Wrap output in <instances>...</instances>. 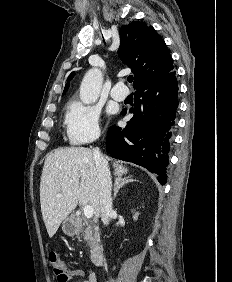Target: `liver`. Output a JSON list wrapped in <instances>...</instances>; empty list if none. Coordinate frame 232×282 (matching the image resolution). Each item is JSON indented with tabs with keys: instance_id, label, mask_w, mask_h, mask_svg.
<instances>
[{
	"instance_id": "1",
	"label": "liver",
	"mask_w": 232,
	"mask_h": 282,
	"mask_svg": "<svg viewBox=\"0 0 232 282\" xmlns=\"http://www.w3.org/2000/svg\"><path fill=\"white\" fill-rule=\"evenodd\" d=\"M114 175L122 176L128 169L113 163ZM90 205L100 215V186L92 150L70 147L55 150L44 162L40 182V204L49 237L77 204Z\"/></svg>"
}]
</instances>
